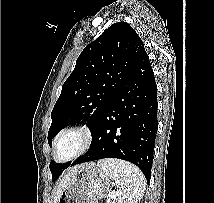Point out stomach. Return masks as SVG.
Wrapping results in <instances>:
<instances>
[{
    "mask_svg": "<svg viewBox=\"0 0 214 203\" xmlns=\"http://www.w3.org/2000/svg\"><path fill=\"white\" fill-rule=\"evenodd\" d=\"M112 185L109 175L94 163L83 164L56 203H99Z\"/></svg>",
    "mask_w": 214,
    "mask_h": 203,
    "instance_id": "1",
    "label": "stomach"
}]
</instances>
